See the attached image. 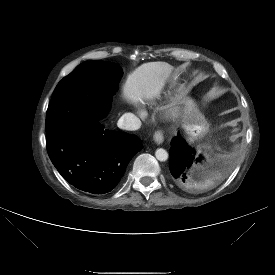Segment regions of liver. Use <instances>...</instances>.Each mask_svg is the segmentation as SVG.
<instances>
[{"mask_svg":"<svg viewBox=\"0 0 275 275\" xmlns=\"http://www.w3.org/2000/svg\"><path fill=\"white\" fill-rule=\"evenodd\" d=\"M171 69L165 62L142 64L128 75L123 86V97L135 105L158 98Z\"/></svg>","mask_w":275,"mask_h":275,"instance_id":"obj_1","label":"liver"}]
</instances>
